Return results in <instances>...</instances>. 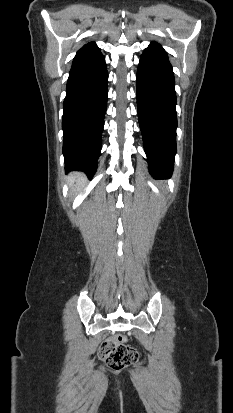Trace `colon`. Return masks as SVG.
<instances>
[{
    "instance_id": "colon-1",
    "label": "colon",
    "mask_w": 233,
    "mask_h": 413,
    "mask_svg": "<svg viewBox=\"0 0 233 413\" xmlns=\"http://www.w3.org/2000/svg\"><path fill=\"white\" fill-rule=\"evenodd\" d=\"M99 355L108 367L115 370L123 369L138 359L136 349L125 344L122 335L104 340L99 347Z\"/></svg>"
}]
</instances>
